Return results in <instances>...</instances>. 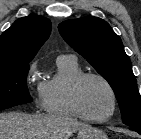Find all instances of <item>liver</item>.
Instances as JSON below:
<instances>
[{
  "mask_svg": "<svg viewBox=\"0 0 141 139\" xmlns=\"http://www.w3.org/2000/svg\"><path fill=\"white\" fill-rule=\"evenodd\" d=\"M86 127L65 114L0 113V139H69Z\"/></svg>",
  "mask_w": 141,
  "mask_h": 139,
  "instance_id": "1",
  "label": "liver"
}]
</instances>
